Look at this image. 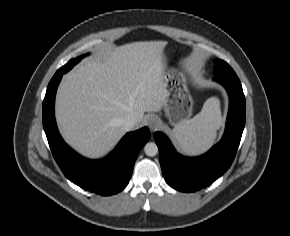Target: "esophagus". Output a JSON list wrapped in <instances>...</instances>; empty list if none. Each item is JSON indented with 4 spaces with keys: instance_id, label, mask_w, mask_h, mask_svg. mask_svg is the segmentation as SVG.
I'll list each match as a JSON object with an SVG mask.
<instances>
[{
    "instance_id": "1",
    "label": "esophagus",
    "mask_w": 290,
    "mask_h": 236,
    "mask_svg": "<svg viewBox=\"0 0 290 236\" xmlns=\"http://www.w3.org/2000/svg\"><path fill=\"white\" fill-rule=\"evenodd\" d=\"M146 124L152 131H156L160 124V119L156 115H150L146 118Z\"/></svg>"
}]
</instances>
